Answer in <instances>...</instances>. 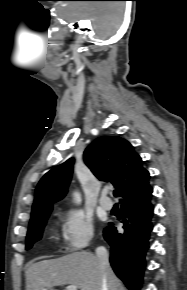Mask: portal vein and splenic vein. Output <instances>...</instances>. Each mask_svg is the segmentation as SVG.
<instances>
[{
	"label": "portal vein and splenic vein",
	"mask_w": 187,
	"mask_h": 290,
	"mask_svg": "<svg viewBox=\"0 0 187 290\" xmlns=\"http://www.w3.org/2000/svg\"><path fill=\"white\" fill-rule=\"evenodd\" d=\"M65 290H77V286L76 285H68L65 287Z\"/></svg>",
	"instance_id": "18ae733b"
}]
</instances>
